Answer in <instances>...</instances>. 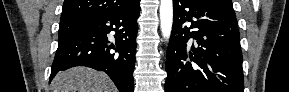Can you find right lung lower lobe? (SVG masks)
I'll return each instance as SVG.
<instances>
[{
	"instance_id": "obj_1",
	"label": "right lung lower lobe",
	"mask_w": 289,
	"mask_h": 92,
	"mask_svg": "<svg viewBox=\"0 0 289 92\" xmlns=\"http://www.w3.org/2000/svg\"><path fill=\"white\" fill-rule=\"evenodd\" d=\"M139 2L84 21L59 38L50 81L61 70L86 66L106 72L120 92H133ZM111 31L115 35L109 40L107 34Z\"/></svg>"
}]
</instances>
